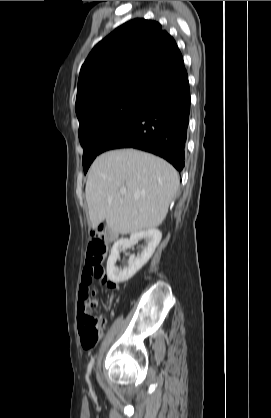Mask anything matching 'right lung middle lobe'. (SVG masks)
<instances>
[{
  "label": "right lung middle lobe",
  "instance_id": "obj_1",
  "mask_svg": "<svg viewBox=\"0 0 271 418\" xmlns=\"http://www.w3.org/2000/svg\"><path fill=\"white\" fill-rule=\"evenodd\" d=\"M150 99L122 94L96 103L77 113L79 140L84 149L83 168L87 172L106 139L125 121L142 109Z\"/></svg>",
  "mask_w": 271,
  "mask_h": 418
}]
</instances>
